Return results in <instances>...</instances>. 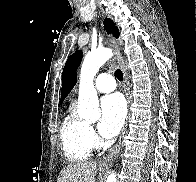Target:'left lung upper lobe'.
I'll return each instance as SVG.
<instances>
[{"label": "left lung upper lobe", "instance_id": "left-lung-upper-lobe-1", "mask_svg": "<svg viewBox=\"0 0 196 182\" xmlns=\"http://www.w3.org/2000/svg\"><path fill=\"white\" fill-rule=\"evenodd\" d=\"M104 29H106L107 33H113V36L118 37L119 31L118 28L115 26L112 20L105 19L104 20ZM82 60V52L76 51L66 61V64L63 69L62 73V93H61V103L76 85L77 81V74L76 69L79 67Z\"/></svg>", "mask_w": 196, "mask_h": 182}]
</instances>
